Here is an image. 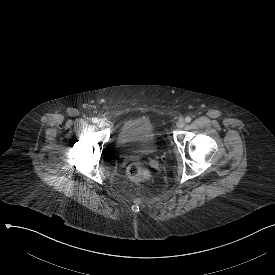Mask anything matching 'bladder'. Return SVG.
I'll return each mask as SVG.
<instances>
[{"mask_svg":"<svg viewBox=\"0 0 275 275\" xmlns=\"http://www.w3.org/2000/svg\"><path fill=\"white\" fill-rule=\"evenodd\" d=\"M116 143L120 149L130 154H156L154 126L148 116H137L123 121L117 130Z\"/></svg>","mask_w":275,"mask_h":275,"instance_id":"1","label":"bladder"}]
</instances>
